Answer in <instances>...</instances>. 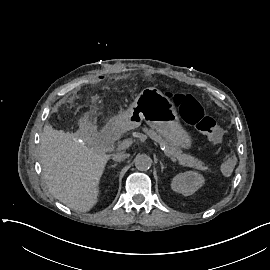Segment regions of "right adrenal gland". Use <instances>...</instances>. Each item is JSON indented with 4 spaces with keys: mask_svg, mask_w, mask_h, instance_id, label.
I'll return each instance as SVG.
<instances>
[{
    "mask_svg": "<svg viewBox=\"0 0 270 270\" xmlns=\"http://www.w3.org/2000/svg\"><path fill=\"white\" fill-rule=\"evenodd\" d=\"M116 166H117V164H114V165H112L111 167H112V168H115Z\"/></svg>",
    "mask_w": 270,
    "mask_h": 270,
    "instance_id": "1",
    "label": "right adrenal gland"
}]
</instances>
